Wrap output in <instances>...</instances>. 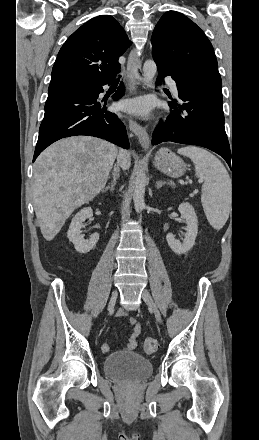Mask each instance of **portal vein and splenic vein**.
<instances>
[{
    "instance_id": "obj_1",
    "label": "portal vein and splenic vein",
    "mask_w": 259,
    "mask_h": 440,
    "mask_svg": "<svg viewBox=\"0 0 259 440\" xmlns=\"http://www.w3.org/2000/svg\"><path fill=\"white\" fill-rule=\"evenodd\" d=\"M199 183H202V180H199Z\"/></svg>"
}]
</instances>
